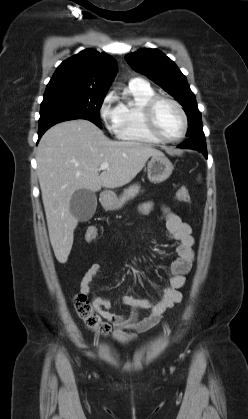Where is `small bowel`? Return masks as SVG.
Listing matches in <instances>:
<instances>
[{
	"mask_svg": "<svg viewBox=\"0 0 248 419\" xmlns=\"http://www.w3.org/2000/svg\"><path fill=\"white\" fill-rule=\"evenodd\" d=\"M152 208L153 203L147 201L141 205V212L148 214ZM162 211L166 229L178 242V246L176 248L177 257L169 265L170 276L167 285L161 290L160 299L152 303L147 299H138L130 295L124 296L123 302L126 305L147 312L145 317H140L136 312L130 316L114 313L111 310V301L106 297L94 296L92 298V304L97 313L114 327L111 335L112 340L123 345L135 340L137 334L155 327L161 320L163 313L182 300L180 289L185 284L186 274L190 272L194 264V239L191 235L190 226L168 207H163ZM86 240L94 241L87 237ZM103 264L101 262L94 263L85 272L80 282V292L82 294L86 296L91 294V284L95 282Z\"/></svg>",
	"mask_w": 248,
	"mask_h": 419,
	"instance_id": "obj_1",
	"label": "small bowel"
}]
</instances>
